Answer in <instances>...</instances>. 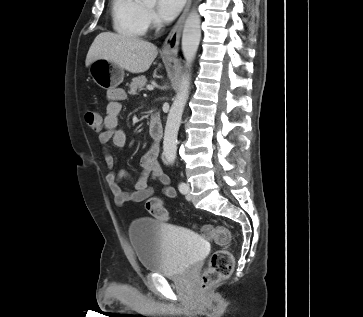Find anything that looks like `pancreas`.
Here are the masks:
<instances>
[{
    "instance_id": "obj_1",
    "label": "pancreas",
    "mask_w": 363,
    "mask_h": 317,
    "mask_svg": "<svg viewBox=\"0 0 363 317\" xmlns=\"http://www.w3.org/2000/svg\"><path fill=\"white\" fill-rule=\"evenodd\" d=\"M146 82L147 79L143 75L133 78L132 82L129 85L130 90L128 91V93L130 95H136L137 91H141L144 89Z\"/></svg>"
}]
</instances>
